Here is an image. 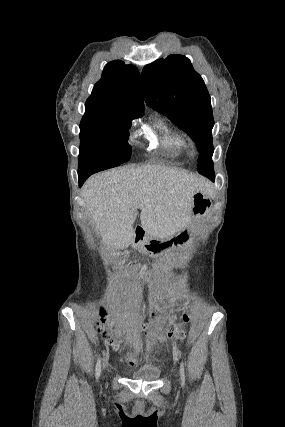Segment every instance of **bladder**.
<instances>
[{"label": "bladder", "mask_w": 285, "mask_h": 427, "mask_svg": "<svg viewBox=\"0 0 285 427\" xmlns=\"http://www.w3.org/2000/svg\"><path fill=\"white\" fill-rule=\"evenodd\" d=\"M161 374L160 368L155 365L142 367L132 374V378L140 381H155Z\"/></svg>", "instance_id": "31cf9c89"}]
</instances>
